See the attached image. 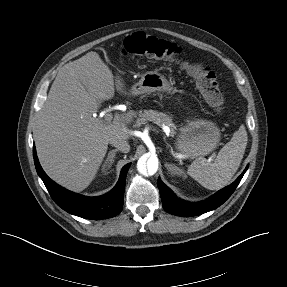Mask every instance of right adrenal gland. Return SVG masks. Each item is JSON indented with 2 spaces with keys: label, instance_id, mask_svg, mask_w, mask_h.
I'll return each mask as SVG.
<instances>
[{
  "label": "right adrenal gland",
  "instance_id": "2a0ac1e0",
  "mask_svg": "<svg viewBox=\"0 0 287 287\" xmlns=\"http://www.w3.org/2000/svg\"><path fill=\"white\" fill-rule=\"evenodd\" d=\"M118 151H119L118 149H114L108 153V156H107V158H106V160L102 166L103 172H106V170L111 168L112 164L114 163L116 152H118Z\"/></svg>",
  "mask_w": 287,
  "mask_h": 287
}]
</instances>
